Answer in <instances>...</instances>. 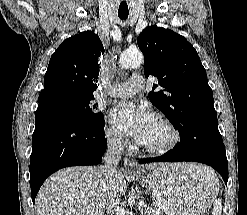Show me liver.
Here are the masks:
<instances>
[{"instance_id": "obj_1", "label": "liver", "mask_w": 247, "mask_h": 215, "mask_svg": "<svg viewBox=\"0 0 247 215\" xmlns=\"http://www.w3.org/2000/svg\"><path fill=\"white\" fill-rule=\"evenodd\" d=\"M163 164L146 165L154 170ZM188 172L195 164H184ZM209 173H214L206 167ZM205 176V174H203ZM127 174L119 171L115 183L107 182L101 166H75L58 171L48 178L35 201L37 215H105L117 209L125 194Z\"/></svg>"}]
</instances>
